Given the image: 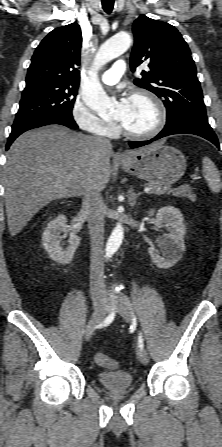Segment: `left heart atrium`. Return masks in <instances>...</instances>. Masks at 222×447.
<instances>
[{
    "instance_id": "obj_1",
    "label": "left heart atrium",
    "mask_w": 222,
    "mask_h": 447,
    "mask_svg": "<svg viewBox=\"0 0 222 447\" xmlns=\"http://www.w3.org/2000/svg\"><path fill=\"white\" fill-rule=\"evenodd\" d=\"M129 105V99L122 98L119 103V107L122 111H125Z\"/></svg>"
}]
</instances>
